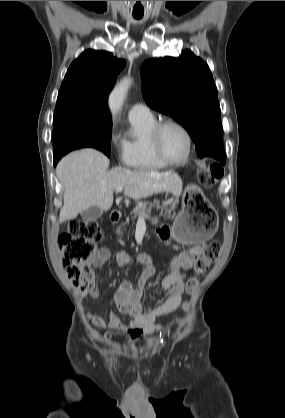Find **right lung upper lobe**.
<instances>
[{"label": "right lung upper lobe", "instance_id": "1", "mask_svg": "<svg viewBox=\"0 0 285 418\" xmlns=\"http://www.w3.org/2000/svg\"><path fill=\"white\" fill-rule=\"evenodd\" d=\"M125 60L110 52L86 50L70 65L56 107L76 106L109 113L107 98Z\"/></svg>", "mask_w": 285, "mask_h": 418}]
</instances>
